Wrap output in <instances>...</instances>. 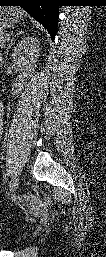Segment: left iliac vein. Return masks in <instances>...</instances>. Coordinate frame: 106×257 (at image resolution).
<instances>
[{
    "mask_svg": "<svg viewBox=\"0 0 106 257\" xmlns=\"http://www.w3.org/2000/svg\"><path fill=\"white\" fill-rule=\"evenodd\" d=\"M18 184H19V177L17 173H15L9 186V194H13L16 191Z\"/></svg>",
    "mask_w": 106,
    "mask_h": 257,
    "instance_id": "1",
    "label": "left iliac vein"
}]
</instances>
